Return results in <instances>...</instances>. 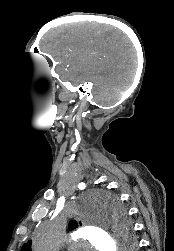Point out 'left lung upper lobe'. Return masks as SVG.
<instances>
[{"mask_svg":"<svg viewBox=\"0 0 174 251\" xmlns=\"http://www.w3.org/2000/svg\"><path fill=\"white\" fill-rule=\"evenodd\" d=\"M108 201H109V204H110L111 208H112L113 211H114V214H115L114 219H116L115 217H117L118 220L123 219V217H124V216H123L124 212H123V210L120 208V206H119V204H118V201H117L116 199H114V198H113V199H110V200H108ZM117 224H118V225L120 224L119 221H117ZM120 225H121V224H120ZM76 227H78L77 222H76L75 220L70 221L69 229H70V230H73V229H75ZM21 251H31V241H29L28 243H26L25 245H23Z\"/></svg>","mask_w":174,"mask_h":251,"instance_id":"5c2ea615","label":"left lung upper lobe"}]
</instances>
